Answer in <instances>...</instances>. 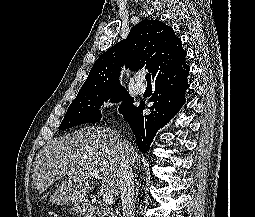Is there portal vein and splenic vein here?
Masks as SVG:
<instances>
[{
  "label": "portal vein and splenic vein",
  "mask_w": 255,
  "mask_h": 217,
  "mask_svg": "<svg viewBox=\"0 0 255 217\" xmlns=\"http://www.w3.org/2000/svg\"><path fill=\"white\" fill-rule=\"evenodd\" d=\"M72 170L73 168H71L67 174L68 175H72ZM95 179H100V175H98L97 173H90ZM103 202L105 205H110L113 204L114 202V196L111 192L109 191H105V193L103 194Z\"/></svg>",
  "instance_id": "portal-vein-and-splenic-vein-1"
}]
</instances>
